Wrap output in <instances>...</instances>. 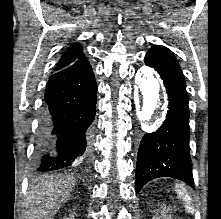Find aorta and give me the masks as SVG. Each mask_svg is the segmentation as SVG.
<instances>
[{
	"label": "aorta",
	"instance_id": "obj_1",
	"mask_svg": "<svg viewBox=\"0 0 221 219\" xmlns=\"http://www.w3.org/2000/svg\"><path fill=\"white\" fill-rule=\"evenodd\" d=\"M137 86L136 117L140 123L149 122L163 99L159 79L150 67H141L135 77Z\"/></svg>",
	"mask_w": 221,
	"mask_h": 219
}]
</instances>
